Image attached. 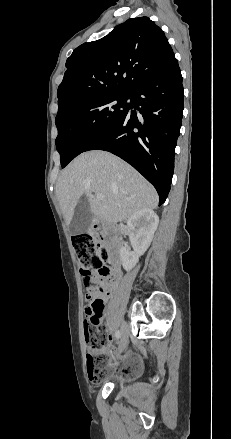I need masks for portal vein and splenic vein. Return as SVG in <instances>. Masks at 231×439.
<instances>
[{"instance_id":"1","label":"portal vein and splenic vein","mask_w":231,"mask_h":439,"mask_svg":"<svg viewBox=\"0 0 231 439\" xmlns=\"http://www.w3.org/2000/svg\"><path fill=\"white\" fill-rule=\"evenodd\" d=\"M95 196H96V198H97L98 200H103V199H104V195L101 194V193H97Z\"/></svg>"}]
</instances>
